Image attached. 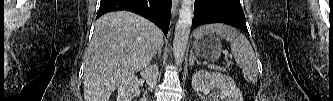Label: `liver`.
<instances>
[{
	"label": "liver",
	"mask_w": 333,
	"mask_h": 101,
	"mask_svg": "<svg viewBox=\"0 0 333 101\" xmlns=\"http://www.w3.org/2000/svg\"><path fill=\"white\" fill-rule=\"evenodd\" d=\"M162 46V31L137 14L116 11L100 17L85 59V101H108L125 78L150 64Z\"/></svg>",
	"instance_id": "1"
}]
</instances>
